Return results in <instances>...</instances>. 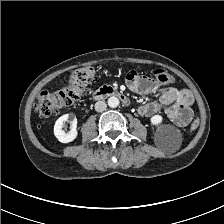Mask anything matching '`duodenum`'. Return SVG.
Wrapping results in <instances>:
<instances>
[{
	"label": "duodenum",
	"mask_w": 224,
	"mask_h": 224,
	"mask_svg": "<svg viewBox=\"0 0 224 224\" xmlns=\"http://www.w3.org/2000/svg\"><path fill=\"white\" fill-rule=\"evenodd\" d=\"M111 96L119 98L126 106L130 105L129 98L123 92L110 86H104L98 91L94 92L91 98L92 100L96 101V100H100L102 98L111 97Z\"/></svg>",
	"instance_id": "obj_1"
}]
</instances>
